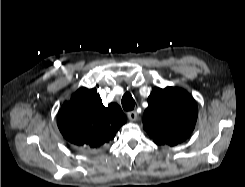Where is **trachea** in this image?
Wrapping results in <instances>:
<instances>
[{"label":"trachea","instance_id":"1","mask_svg":"<svg viewBox=\"0 0 245 187\" xmlns=\"http://www.w3.org/2000/svg\"><path fill=\"white\" fill-rule=\"evenodd\" d=\"M121 103H122L124 110H126V111L132 110L135 106V101H134L132 95L129 93H126L123 95Z\"/></svg>","mask_w":245,"mask_h":187}]
</instances>
